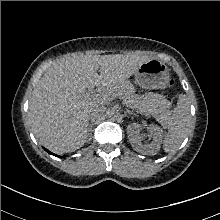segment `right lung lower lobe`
<instances>
[{
  "instance_id": "1",
  "label": "right lung lower lobe",
  "mask_w": 220,
  "mask_h": 220,
  "mask_svg": "<svg viewBox=\"0 0 220 220\" xmlns=\"http://www.w3.org/2000/svg\"><path fill=\"white\" fill-rule=\"evenodd\" d=\"M49 154H52V155H55V154H53V153H51L49 150H47V149H45ZM56 156V155H55Z\"/></svg>"
}]
</instances>
